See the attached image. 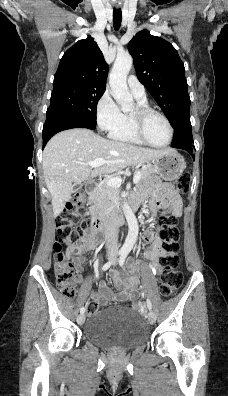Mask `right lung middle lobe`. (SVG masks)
Instances as JSON below:
<instances>
[{
  "label": "right lung middle lobe",
  "mask_w": 228,
  "mask_h": 396,
  "mask_svg": "<svg viewBox=\"0 0 228 396\" xmlns=\"http://www.w3.org/2000/svg\"><path fill=\"white\" fill-rule=\"evenodd\" d=\"M105 89L79 85L54 86L47 111H62L96 125L97 103Z\"/></svg>",
  "instance_id": "right-lung-middle-lobe-1"
}]
</instances>
